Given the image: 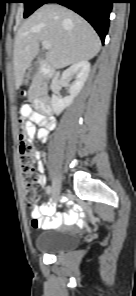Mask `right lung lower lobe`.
I'll return each mask as SVG.
<instances>
[{
  "label": "right lung lower lobe",
  "mask_w": 136,
  "mask_h": 296,
  "mask_svg": "<svg viewBox=\"0 0 136 296\" xmlns=\"http://www.w3.org/2000/svg\"><path fill=\"white\" fill-rule=\"evenodd\" d=\"M114 2L115 0H46L44 4L58 3L77 12L94 27L104 43Z\"/></svg>",
  "instance_id": "1"
}]
</instances>
